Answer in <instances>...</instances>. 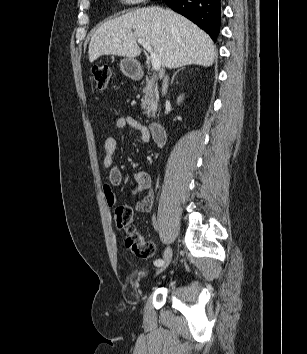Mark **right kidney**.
I'll return each instance as SVG.
<instances>
[{"label": "right kidney", "instance_id": "ca27d5eb", "mask_svg": "<svg viewBox=\"0 0 307 354\" xmlns=\"http://www.w3.org/2000/svg\"><path fill=\"white\" fill-rule=\"evenodd\" d=\"M182 99H183V97L179 96L178 99H177V103L181 102Z\"/></svg>", "mask_w": 307, "mask_h": 354}]
</instances>
